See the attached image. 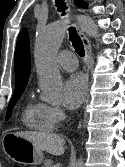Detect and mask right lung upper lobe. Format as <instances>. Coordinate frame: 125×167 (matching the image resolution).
<instances>
[{"label":"right lung upper lobe","instance_id":"cb5924a9","mask_svg":"<svg viewBox=\"0 0 125 167\" xmlns=\"http://www.w3.org/2000/svg\"><path fill=\"white\" fill-rule=\"evenodd\" d=\"M14 68L16 76L15 89L25 88L31 70L29 38L26 29L20 33L17 39L16 50L14 54Z\"/></svg>","mask_w":125,"mask_h":167}]
</instances>
